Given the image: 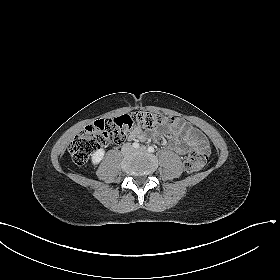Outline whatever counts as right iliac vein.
<instances>
[{
  "label": "right iliac vein",
  "mask_w": 280,
  "mask_h": 280,
  "mask_svg": "<svg viewBox=\"0 0 280 280\" xmlns=\"http://www.w3.org/2000/svg\"><path fill=\"white\" fill-rule=\"evenodd\" d=\"M126 151L129 153V152L132 151V149H131L130 147H127V148H126Z\"/></svg>",
  "instance_id": "63e3f726"
}]
</instances>
